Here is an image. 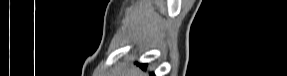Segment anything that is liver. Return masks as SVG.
Segmentation results:
<instances>
[{"label": "liver", "mask_w": 287, "mask_h": 76, "mask_svg": "<svg viewBox=\"0 0 287 76\" xmlns=\"http://www.w3.org/2000/svg\"><path fill=\"white\" fill-rule=\"evenodd\" d=\"M127 73H132V71L127 69V70L124 71V74H127ZM133 74H138V70H134ZM134 76H136V75H134Z\"/></svg>", "instance_id": "6515ba94"}]
</instances>
